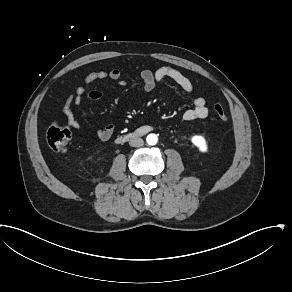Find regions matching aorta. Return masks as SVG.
Wrapping results in <instances>:
<instances>
[{
  "mask_svg": "<svg viewBox=\"0 0 292 292\" xmlns=\"http://www.w3.org/2000/svg\"><path fill=\"white\" fill-rule=\"evenodd\" d=\"M146 140L148 144L155 145L157 143L158 138L157 135L155 134H149Z\"/></svg>",
  "mask_w": 292,
  "mask_h": 292,
  "instance_id": "762f6f07",
  "label": "aorta"
}]
</instances>
